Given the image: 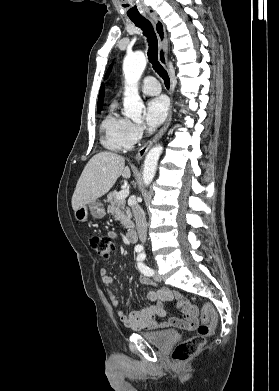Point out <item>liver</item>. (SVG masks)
I'll list each match as a JSON object with an SVG mask.
<instances>
[{"label":"liver","instance_id":"6515ba94","mask_svg":"<svg viewBox=\"0 0 279 391\" xmlns=\"http://www.w3.org/2000/svg\"><path fill=\"white\" fill-rule=\"evenodd\" d=\"M121 175L124 178L131 176L130 168L125 167L124 157L108 151L94 155L77 182L72 196L73 210L105 195Z\"/></svg>","mask_w":279,"mask_h":391}]
</instances>
